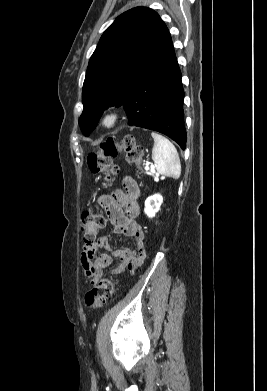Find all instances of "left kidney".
Instances as JSON below:
<instances>
[{"instance_id": "1", "label": "left kidney", "mask_w": 267, "mask_h": 391, "mask_svg": "<svg viewBox=\"0 0 267 391\" xmlns=\"http://www.w3.org/2000/svg\"><path fill=\"white\" fill-rule=\"evenodd\" d=\"M163 202V198L160 194L150 196L145 201V213L148 217H154L155 214L160 210V206Z\"/></svg>"}]
</instances>
